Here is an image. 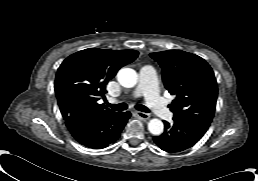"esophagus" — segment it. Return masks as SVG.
<instances>
[{
	"mask_svg": "<svg viewBox=\"0 0 258 181\" xmlns=\"http://www.w3.org/2000/svg\"><path fill=\"white\" fill-rule=\"evenodd\" d=\"M136 115L143 120H148L150 118L149 114L140 111H136Z\"/></svg>",
	"mask_w": 258,
	"mask_h": 181,
	"instance_id": "obj_1",
	"label": "esophagus"
}]
</instances>
